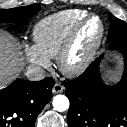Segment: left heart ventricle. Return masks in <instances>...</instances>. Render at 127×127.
I'll use <instances>...</instances> for the list:
<instances>
[{
	"instance_id": "b2bd125f",
	"label": "left heart ventricle",
	"mask_w": 127,
	"mask_h": 127,
	"mask_svg": "<svg viewBox=\"0 0 127 127\" xmlns=\"http://www.w3.org/2000/svg\"><path fill=\"white\" fill-rule=\"evenodd\" d=\"M99 32L100 23L97 19H91L83 26L70 57L71 63H78L84 58Z\"/></svg>"
}]
</instances>
